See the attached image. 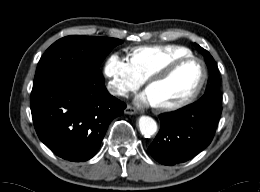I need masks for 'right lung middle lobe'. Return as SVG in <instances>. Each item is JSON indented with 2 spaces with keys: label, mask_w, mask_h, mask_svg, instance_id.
<instances>
[{
  "label": "right lung middle lobe",
  "mask_w": 260,
  "mask_h": 192,
  "mask_svg": "<svg viewBox=\"0 0 260 192\" xmlns=\"http://www.w3.org/2000/svg\"><path fill=\"white\" fill-rule=\"evenodd\" d=\"M122 41L95 36H67L52 44L42 56L34 84L46 75L62 69L101 74L99 67L110 51Z\"/></svg>",
  "instance_id": "right-lung-middle-lobe-1"
}]
</instances>
